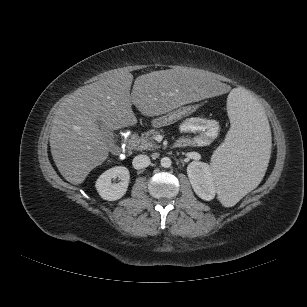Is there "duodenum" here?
Instances as JSON below:
<instances>
[{
  "label": "duodenum",
  "mask_w": 307,
  "mask_h": 307,
  "mask_svg": "<svg viewBox=\"0 0 307 307\" xmlns=\"http://www.w3.org/2000/svg\"><path fill=\"white\" fill-rule=\"evenodd\" d=\"M137 146V140L134 137H131L128 139L127 143H126V147H125V151H133L136 149ZM177 146L179 147H185V145L183 144V142L178 141L177 142Z\"/></svg>",
  "instance_id": "410a0bca"
}]
</instances>
